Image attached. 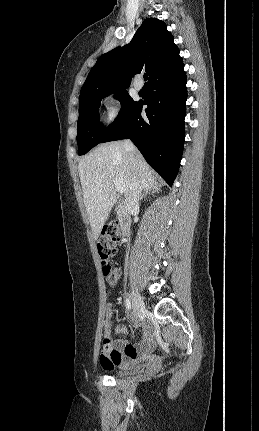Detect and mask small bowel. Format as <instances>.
<instances>
[{"label": "small bowel", "instance_id": "small-bowel-1", "mask_svg": "<svg viewBox=\"0 0 259 431\" xmlns=\"http://www.w3.org/2000/svg\"><path fill=\"white\" fill-rule=\"evenodd\" d=\"M139 326L144 330L141 341L138 344L126 343L116 339L118 334H126V329L115 321L114 304L108 305L104 328V346L100 357L101 366L105 370L114 367H125L146 356L153 341V332L146 323Z\"/></svg>", "mask_w": 259, "mask_h": 431}]
</instances>
